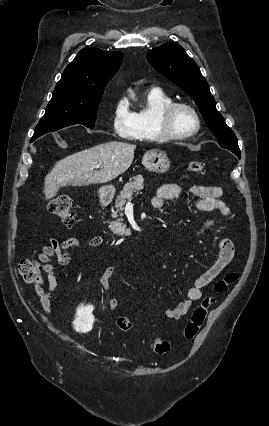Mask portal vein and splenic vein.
<instances>
[{
  "label": "portal vein and splenic vein",
  "instance_id": "obj_1",
  "mask_svg": "<svg viewBox=\"0 0 269 426\" xmlns=\"http://www.w3.org/2000/svg\"><path fill=\"white\" fill-rule=\"evenodd\" d=\"M96 168H99V165H97L96 166ZM131 204V202L129 201L128 203H127V205H130Z\"/></svg>",
  "mask_w": 269,
  "mask_h": 426
}]
</instances>
